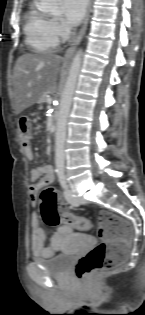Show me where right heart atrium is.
<instances>
[{
	"label": "right heart atrium",
	"instance_id": "obj_1",
	"mask_svg": "<svg viewBox=\"0 0 145 315\" xmlns=\"http://www.w3.org/2000/svg\"><path fill=\"white\" fill-rule=\"evenodd\" d=\"M51 26L57 37L64 38L68 35L69 29L65 23L57 18L51 19Z\"/></svg>",
	"mask_w": 145,
	"mask_h": 315
}]
</instances>
